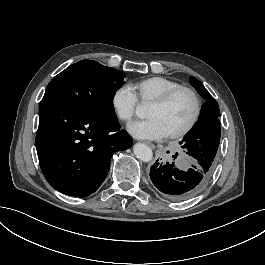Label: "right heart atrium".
Returning a JSON list of instances; mask_svg holds the SVG:
<instances>
[{"label": "right heart atrium", "instance_id": "obj_1", "mask_svg": "<svg viewBox=\"0 0 265 265\" xmlns=\"http://www.w3.org/2000/svg\"><path fill=\"white\" fill-rule=\"evenodd\" d=\"M137 100L126 86H119L111 101L112 115L119 123H131L135 117Z\"/></svg>", "mask_w": 265, "mask_h": 265}]
</instances>
